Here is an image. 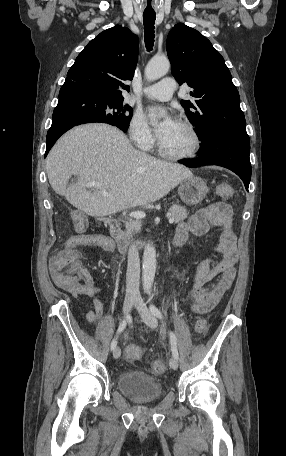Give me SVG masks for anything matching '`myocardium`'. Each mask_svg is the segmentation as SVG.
<instances>
[{
    "label": "myocardium",
    "mask_w": 286,
    "mask_h": 456,
    "mask_svg": "<svg viewBox=\"0 0 286 456\" xmlns=\"http://www.w3.org/2000/svg\"><path fill=\"white\" fill-rule=\"evenodd\" d=\"M178 124L183 126L184 128H186L192 135L193 140H194V145H193L192 150L185 154H180V155L173 154V153L166 151L164 149V147L162 146L161 141L158 140L157 149H158L159 154L164 158H167L170 160H176V161L187 160V159L196 157L202 148V138H201L199 131L192 123H190L188 121L181 120V121H178Z\"/></svg>",
    "instance_id": "1"
}]
</instances>
